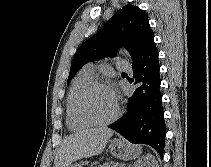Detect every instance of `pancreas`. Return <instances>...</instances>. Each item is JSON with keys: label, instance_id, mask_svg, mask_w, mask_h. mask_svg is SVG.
<instances>
[{"label": "pancreas", "instance_id": "obj_1", "mask_svg": "<svg viewBox=\"0 0 211 167\" xmlns=\"http://www.w3.org/2000/svg\"><path fill=\"white\" fill-rule=\"evenodd\" d=\"M98 167H123V165L119 163L107 162L102 165H99Z\"/></svg>", "mask_w": 211, "mask_h": 167}]
</instances>
